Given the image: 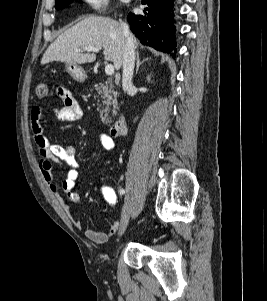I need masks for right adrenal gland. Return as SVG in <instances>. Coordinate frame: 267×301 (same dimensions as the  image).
<instances>
[{
	"label": "right adrenal gland",
	"instance_id": "1",
	"mask_svg": "<svg viewBox=\"0 0 267 301\" xmlns=\"http://www.w3.org/2000/svg\"><path fill=\"white\" fill-rule=\"evenodd\" d=\"M147 60H149V58H145L142 61H140L139 52L136 53V70H135L136 74L138 73L139 66Z\"/></svg>",
	"mask_w": 267,
	"mask_h": 301
}]
</instances>
